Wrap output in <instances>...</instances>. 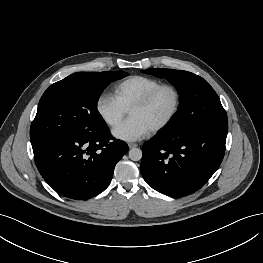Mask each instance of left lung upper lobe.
I'll return each instance as SVG.
<instances>
[{
	"mask_svg": "<svg viewBox=\"0 0 263 263\" xmlns=\"http://www.w3.org/2000/svg\"><path fill=\"white\" fill-rule=\"evenodd\" d=\"M142 72L166 78L178 89L181 103L166 130L190 133L204 128L228 125L227 115L218 95L200 76L173 69H147Z\"/></svg>",
	"mask_w": 263,
	"mask_h": 263,
	"instance_id": "obj_1",
	"label": "left lung upper lobe"
}]
</instances>
